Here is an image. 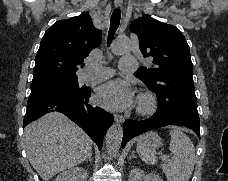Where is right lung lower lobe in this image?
I'll return each mask as SVG.
<instances>
[{
  "mask_svg": "<svg viewBox=\"0 0 228 181\" xmlns=\"http://www.w3.org/2000/svg\"><path fill=\"white\" fill-rule=\"evenodd\" d=\"M91 89L83 87L75 93L57 87L31 90L24 117V124L48 112L58 111L79 125L102 148L104 134L113 124V115L88 103Z\"/></svg>",
  "mask_w": 228,
  "mask_h": 181,
  "instance_id": "right-lung-lower-lobe-1",
  "label": "right lung lower lobe"
}]
</instances>
